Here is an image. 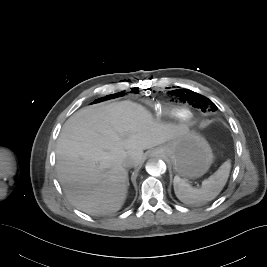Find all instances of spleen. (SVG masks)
Masks as SVG:
<instances>
[{"mask_svg": "<svg viewBox=\"0 0 267 267\" xmlns=\"http://www.w3.org/2000/svg\"><path fill=\"white\" fill-rule=\"evenodd\" d=\"M231 163L224 162L208 179L202 182L201 188H193L186 180L174 177V191L177 198L186 204L201 205L213 200L224 188L230 173Z\"/></svg>", "mask_w": 267, "mask_h": 267, "instance_id": "spleen-1", "label": "spleen"}]
</instances>
